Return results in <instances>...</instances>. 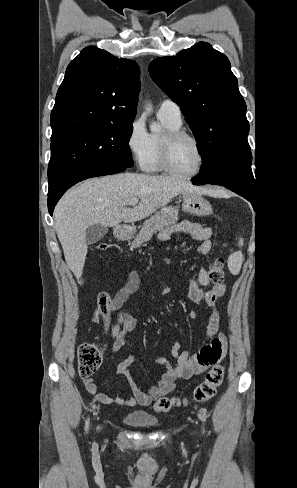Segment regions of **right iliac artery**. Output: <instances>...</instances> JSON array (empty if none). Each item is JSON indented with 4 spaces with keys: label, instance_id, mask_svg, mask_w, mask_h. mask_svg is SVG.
Here are the masks:
<instances>
[{
    "label": "right iliac artery",
    "instance_id": "82829eb1",
    "mask_svg": "<svg viewBox=\"0 0 297 488\" xmlns=\"http://www.w3.org/2000/svg\"><path fill=\"white\" fill-rule=\"evenodd\" d=\"M88 423H89V419L86 422V430L88 429Z\"/></svg>",
    "mask_w": 297,
    "mask_h": 488
}]
</instances>
